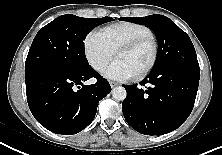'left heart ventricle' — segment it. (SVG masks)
Here are the masks:
<instances>
[{
	"instance_id": "obj_1",
	"label": "left heart ventricle",
	"mask_w": 222,
	"mask_h": 155,
	"mask_svg": "<svg viewBox=\"0 0 222 155\" xmlns=\"http://www.w3.org/2000/svg\"><path fill=\"white\" fill-rule=\"evenodd\" d=\"M152 55V44L145 43L132 51H125L119 53L117 55V59H120L125 62L126 65L132 70L134 75H136L149 64Z\"/></svg>"
}]
</instances>
